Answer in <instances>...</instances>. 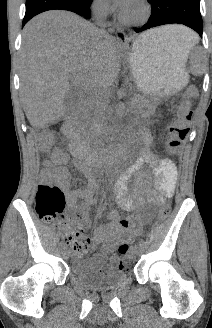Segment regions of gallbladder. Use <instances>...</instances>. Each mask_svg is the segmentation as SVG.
<instances>
[{
	"instance_id": "gallbladder-1",
	"label": "gallbladder",
	"mask_w": 212,
	"mask_h": 328,
	"mask_svg": "<svg viewBox=\"0 0 212 328\" xmlns=\"http://www.w3.org/2000/svg\"><path fill=\"white\" fill-rule=\"evenodd\" d=\"M74 100H75V91L70 90L64 98L65 105L68 109H70L72 107Z\"/></svg>"
}]
</instances>
